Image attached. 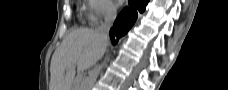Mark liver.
<instances>
[{
    "instance_id": "6515ba94",
    "label": "liver",
    "mask_w": 228,
    "mask_h": 90,
    "mask_svg": "<svg viewBox=\"0 0 228 90\" xmlns=\"http://www.w3.org/2000/svg\"><path fill=\"white\" fill-rule=\"evenodd\" d=\"M106 47L107 40L94 29L72 31L52 56L49 90H72L76 66L78 70L89 69L103 56Z\"/></svg>"
}]
</instances>
